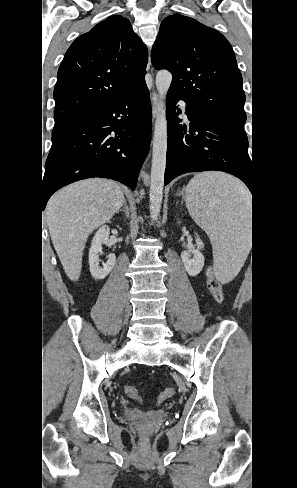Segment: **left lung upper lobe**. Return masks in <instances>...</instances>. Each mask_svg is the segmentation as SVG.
<instances>
[{
    "mask_svg": "<svg viewBox=\"0 0 297 488\" xmlns=\"http://www.w3.org/2000/svg\"><path fill=\"white\" fill-rule=\"evenodd\" d=\"M152 64L172 75L169 91L194 111L243 130L245 94L234 51L217 30L190 17L165 18L154 43Z\"/></svg>",
    "mask_w": 297,
    "mask_h": 488,
    "instance_id": "obj_1",
    "label": "left lung upper lobe"
}]
</instances>
